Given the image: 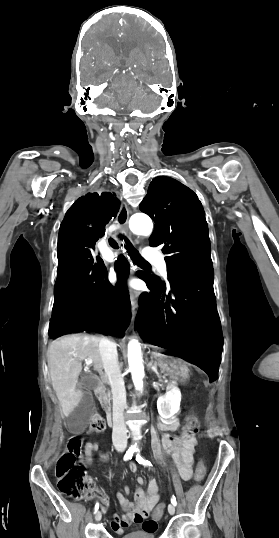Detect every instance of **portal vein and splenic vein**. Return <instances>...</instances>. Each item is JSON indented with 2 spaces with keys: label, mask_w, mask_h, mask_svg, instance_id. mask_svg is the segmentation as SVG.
<instances>
[{
  "label": "portal vein and splenic vein",
  "mask_w": 279,
  "mask_h": 538,
  "mask_svg": "<svg viewBox=\"0 0 279 538\" xmlns=\"http://www.w3.org/2000/svg\"><path fill=\"white\" fill-rule=\"evenodd\" d=\"M84 362L86 366H89V364H93V360H90V358H84ZM162 380H165V383H169V380H167V377H162Z\"/></svg>",
  "instance_id": "obj_1"
}]
</instances>
